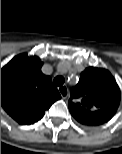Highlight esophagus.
Instances as JSON below:
<instances>
[{
  "label": "esophagus",
  "mask_w": 122,
  "mask_h": 154,
  "mask_svg": "<svg viewBox=\"0 0 122 154\" xmlns=\"http://www.w3.org/2000/svg\"><path fill=\"white\" fill-rule=\"evenodd\" d=\"M58 91L61 94L62 98L65 99L68 96V88L66 86L59 87Z\"/></svg>",
  "instance_id": "obj_1"
}]
</instances>
